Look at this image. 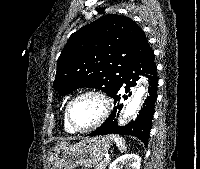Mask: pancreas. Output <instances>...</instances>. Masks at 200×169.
Instances as JSON below:
<instances>
[{"label":"pancreas","instance_id":"pancreas-1","mask_svg":"<svg viewBox=\"0 0 200 169\" xmlns=\"http://www.w3.org/2000/svg\"><path fill=\"white\" fill-rule=\"evenodd\" d=\"M109 160H103L102 162L98 163L94 169H106Z\"/></svg>","mask_w":200,"mask_h":169}]
</instances>
